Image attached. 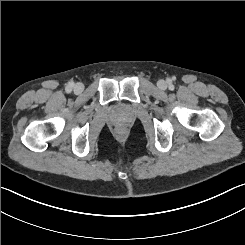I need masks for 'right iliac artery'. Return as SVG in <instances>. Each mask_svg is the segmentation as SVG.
<instances>
[{
  "mask_svg": "<svg viewBox=\"0 0 245 245\" xmlns=\"http://www.w3.org/2000/svg\"><path fill=\"white\" fill-rule=\"evenodd\" d=\"M72 87H73V85H72V84H69V85L67 86L66 90H67L68 92H70L71 89H72Z\"/></svg>",
  "mask_w": 245,
  "mask_h": 245,
  "instance_id": "obj_1",
  "label": "right iliac artery"
}]
</instances>
